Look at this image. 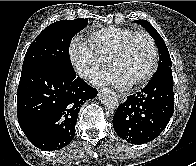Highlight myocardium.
Instances as JSON below:
<instances>
[{"mask_svg": "<svg viewBox=\"0 0 196 166\" xmlns=\"http://www.w3.org/2000/svg\"><path fill=\"white\" fill-rule=\"evenodd\" d=\"M137 35L145 36L148 39L150 46H151V50H152V62H151V65L148 71L138 80L131 83L132 86H141L147 83L152 78V76L154 75L157 69L159 54H158V48H157L154 38L148 32L144 30H135L124 38V40L122 41V43L120 44V46L117 48V50L114 52V54L112 55L110 59V64L113 66L115 61L118 60L120 57H122L126 53L130 41Z\"/></svg>", "mask_w": 196, "mask_h": 166, "instance_id": "f54148a6", "label": "myocardium"}]
</instances>
